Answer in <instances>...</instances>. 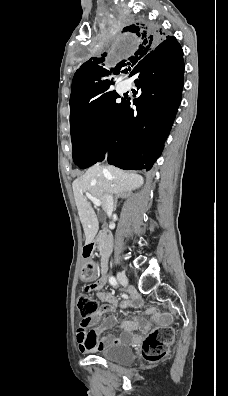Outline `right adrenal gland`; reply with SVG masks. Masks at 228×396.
<instances>
[{
	"label": "right adrenal gland",
	"instance_id": "right-adrenal-gland-1",
	"mask_svg": "<svg viewBox=\"0 0 228 396\" xmlns=\"http://www.w3.org/2000/svg\"><path fill=\"white\" fill-rule=\"evenodd\" d=\"M127 196H128L127 193H122V194L116 195V197H115V206H114V210L117 209V206H118V199H119V198H126Z\"/></svg>",
	"mask_w": 228,
	"mask_h": 396
}]
</instances>
